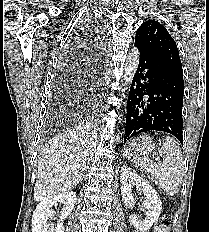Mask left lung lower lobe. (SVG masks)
<instances>
[{"label":"left lung lower lobe","mask_w":209,"mask_h":232,"mask_svg":"<svg viewBox=\"0 0 209 232\" xmlns=\"http://www.w3.org/2000/svg\"><path fill=\"white\" fill-rule=\"evenodd\" d=\"M183 94V72L163 67L140 50L128 96L124 143L142 132L163 131L183 145Z\"/></svg>","instance_id":"obj_1"}]
</instances>
